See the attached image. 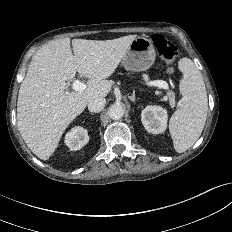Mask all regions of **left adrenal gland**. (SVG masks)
<instances>
[{"label":"left adrenal gland","instance_id":"left-adrenal-gland-1","mask_svg":"<svg viewBox=\"0 0 232 232\" xmlns=\"http://www.w3.org/2000/svg\"><path fill=\"white\" fill-rule=\"evenodd\" d=\"M129 99H130L132 102H135V93H133L131 96H129Z\"/></svg>","mask_w":232,"mask_h":232}]
</instances>
